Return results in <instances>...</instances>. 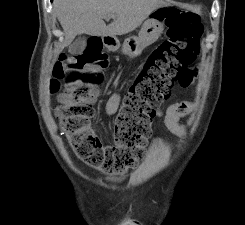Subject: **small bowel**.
<instances>
[{"instance_id": "c3829d8e", "label": "small bowel", "mask_w": 245, "mask_h": 225, "mask_svg": "<svg viewBox=\"0 0 245 225\" xmlns=\"http://www.w3.org/2000/svg\"><path fill=\"white\" fill-rule=\"evenodd\" d=\"M121 96L118 92H113L105 101L104 110L108 117L114 116L120 106ZM176 104L169 105L166 109L157 108L155 117L164 118V122L169 132L176 136H181L183 127L180 123V116L176 112ZM158 145V143H156Z\"/></svg>"}]
</instances>
